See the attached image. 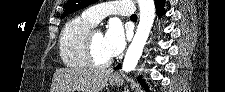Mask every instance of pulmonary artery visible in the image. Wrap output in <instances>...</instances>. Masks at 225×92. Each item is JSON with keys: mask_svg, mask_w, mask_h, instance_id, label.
Segmentation results:
<instances>
[{"mask_svg": "<svg viewBox=\"0 0 225 92\" xmlns=\"http://www.w3.org/2000/svg\"><path fill=\"white\" fill-rule=\"evenodd\" d=\"M131 7L132 5L128 1L103 2L87 8L83 11L81 16L93 25H97L108 14H122L129 16Z\"/></svg>", "mask_w": 225, "mask_h": 92, "instance_id": "e3ab8cb5", "label": "pulmonary artery"}]
</instances>
